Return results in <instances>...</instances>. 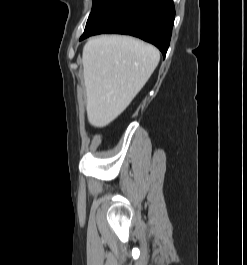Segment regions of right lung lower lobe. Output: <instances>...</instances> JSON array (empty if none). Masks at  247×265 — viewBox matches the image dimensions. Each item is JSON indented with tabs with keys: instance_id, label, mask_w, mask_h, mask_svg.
<instances>
[{
	"instance_id": "98d812e1",
	"label": "right lung lower lobe",
	"mask_w": 247,
	"mask_h": 265,
	"mask_svg": "<svg viewBox=\"0 0 247 265\" xmlns=\"http://www.w3.org/2000/svg\"><path fill=\"white\" fill-rule=\"evenodd\" d=\"M174 17L173 0H101L80 40L101 33L128 34L154 44L165 57Z\"/></svg>"
}]
</instances>
